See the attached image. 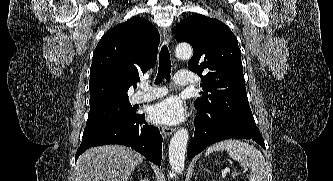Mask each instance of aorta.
<instances>
[{
	"label": "aorta",
	"mask_w": 333,
	"mask_h": 181,
	"mask_svg": "<svg viewBox=\"0 0 333 181\" xmlns=\"http://www.w3.org/2000/svg\"><path fill=\"white\" fill-rule=\"evenodd\" d=\"M175 54L179 59H189L193 55V50L188 44H179L175 49ZM188 139V130L180 128L175 132L170 141L169 162L172 170L176 173H181L184 170Z\"/></svg>",
	"instance_id": "1"
}]
</instances>
